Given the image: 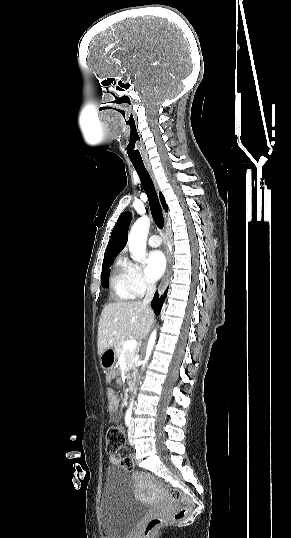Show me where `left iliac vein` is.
Here are the masks:
<instances>
[{
  "instance_id": "4c4485c4",
  "label": "left iliac vein",
  "mask_w": 291,
  "mask_h": 538,
  "mask_svg": "<svg viewBox=\"0 0 291 538\" xmlns=\"http://www.w3.org/2000/svg\"><path fill=\"white\" fill-rule=\"evenodd\" d=\"M133 433H134V421L132 420L129 426V430H128V439L131 445L133 444Z\"/></svg>"
}]
</instances>
